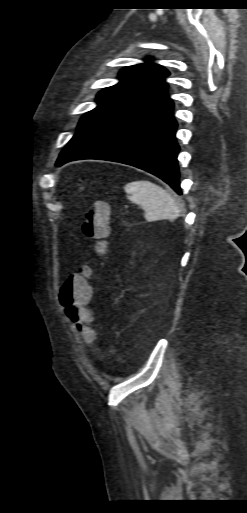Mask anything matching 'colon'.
<instances>
[{"label": "colon", "instance_id": "colon-1", "mask_svg": "<svg viewBox=\"0 0 247 513\" xmlns=\"http://www.w3.org/2000/svg\"><path fill=\"white\" fill-rule=\"evenodd\" d=\"M110 218V207L105 202L95 204L83 215L82 232L88 239L93 240V248L98 255H102L106 249ZM93 278L91 267L83 266L65 280L59 292V301L66 315L87 340L95 338L92 329L93 314L87 305L92 294Z\"/></svg>", "mask_w": 247, "mask_h": 513}]
</instances>
